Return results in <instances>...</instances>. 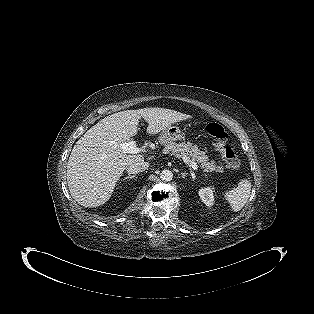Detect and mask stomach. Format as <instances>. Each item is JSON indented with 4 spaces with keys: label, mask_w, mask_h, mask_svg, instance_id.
I'll return each mask as SVG.
<instances>
[{
    "label": "stomach",
    "mask_w": 314,
    "mask_h": 314,
    "mask_svg": "<svg viewBox=\"0 0 314 314\" xmlns=\"http://www.w3.org/2000/svg\"><path fill=\"white\" fill-rule=\"evenodd\" d=\"M185 140L184 134L179 127L171 125L168 128L160 132L159 142L164 144L168 141H182Z\"/></svg>",
    "instance_id": "obj_1"
}]
</instances>
